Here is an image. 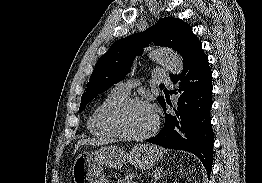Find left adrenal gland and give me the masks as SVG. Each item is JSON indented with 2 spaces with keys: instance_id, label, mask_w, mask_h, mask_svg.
I'll return each mask as SVG.
<instances>
[{
  "instance_id": "left-adrenal-gland-1",
  "label": "left adrenal gland",
  "mask_w": 262,
  "mask_h": 183,
  "mask_svg": "<svg viewBox=\"0 0 262 183\" xmlns=\"http://www.w3.org/2000/svg\"><path fill=\"white\" fill-rule=\"evenodd\" d=\"M164 173L165 171L163 170L162 167H159L157 170H155L153 180L151 181V183H156L157 180L160 179Z\"/></svg>"
}]
</instances>
